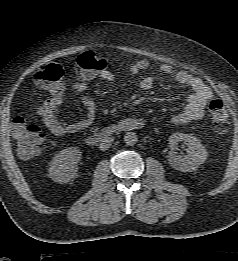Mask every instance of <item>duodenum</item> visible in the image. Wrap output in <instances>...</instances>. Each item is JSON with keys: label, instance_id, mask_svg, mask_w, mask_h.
<instances>
[{"label": "duodenum", "instance_id": "1", "mask_svg": "<svg viewBox=\"0 0 238 261\" xmlns=\"http://www.w3.org/2000/svg\"><path fill=\"white\" fill-rule=\"evenodd\" d=\"M133 129H136V125L134 123L120 122L118 124L107 126L98 132L88 135L85 138V141L88 145L94 146L109 139L116 133L125 132Z\"/></svg>", "mask_w": 238, "mask_h": 261}]
</instances>
